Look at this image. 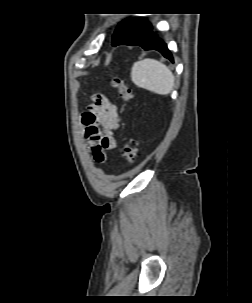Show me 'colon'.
<instances>
[{"label": "colon", "mask_w": 252, "mask_h": 303, "mask_svg": "<svg viewBox=\"0 0 252 303\" xmlns=\"http://www.w3.org/2000/svg\"><path fill=\"white\" fill-rule=\"evenodd\" d=\"M111 85L113 88L117 89L119 98L124 102H131L133 98V93L130 87L127 86L124 79L118 76L111 77ZM122 154L125 157L129 165H133L136 160V149L134 142L129 140L124 143L122 147Z\"/></svg>", "instance_id": "colon-1"}]
</instances>
